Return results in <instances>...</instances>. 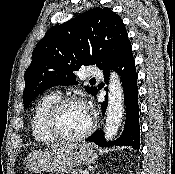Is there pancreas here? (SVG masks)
Segmentation results:
<instances>
[{
  "label": "pancreas",
  "instance_id": "pancreas-1",
  "mask_svg": "<svg viewBox=\"0 0 175 174\" xmlns=\"http://www.w3.org/2000/svg\"><path fill=\"white\" fill-rule=\"evenodd\" d=\"M71 174H83V170L82 169H75L71 172Z\"/></svg>",
  "mask_w": 175,
  "mask_h": 174
}]
</instances>
